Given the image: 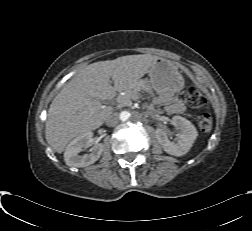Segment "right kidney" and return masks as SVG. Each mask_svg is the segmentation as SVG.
<instances>
[{
	"instance_id": "1",
	"label": "right kidney",
	"mask_w": 252,
	"mask_h": 231,
	"mask_svg": "<svg viewBox=\"0 0 252 231\" xmlns=\"http://www.w3.org/2000/svg\"><path fill=\"white\" fill-rule=\"evenodd\" d=\"M93 133L86 132L73 139L64 152V160L71 167H86L96 162L102 152L103 145L97 144L89 150V154L79 155L83 148L90 145Z\"/></svg>"
}]
</instances>
